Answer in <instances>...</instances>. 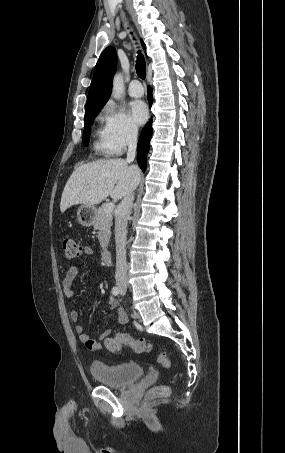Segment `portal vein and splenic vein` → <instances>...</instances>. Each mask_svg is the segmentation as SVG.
<instances>
[{
    "label": "portal vein and splenic vein",
    "instance_id": "1",
    "mask_svg": "<svg viewBox=\"0 0 285 453\" xmlns=\"http://www.w3.org/2000/svg\"><path fill=\"white\" fill-rule=\"evenodd\" d=\"M114 207H115L114 203H108V204L105 206L104 211H105L106 213H112V211L114 210Z\"/></svg>",
    "mask_w": 285,
    "mask_h": 453
}]
</instances>
